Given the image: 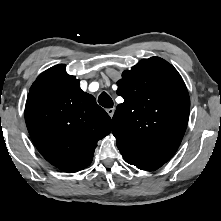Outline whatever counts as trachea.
Segmentation results:
<instances>
[{
	"mask_svg": "<svg viewBox=\"0 0 221 221\" xmlns=\"http://www.w3.org/2000/svg\"><path fill=\"white\" fill-rule=\"evenodd\" d=\"M98 103L105 108H112L113 107V100L106 92H102L99 95Z\"/></svg>",
	"mask_w": 221,
	"mask_h": 221,
	"instance_id": "trachea-1",
	"label": "trachea"
}]
</instances>
